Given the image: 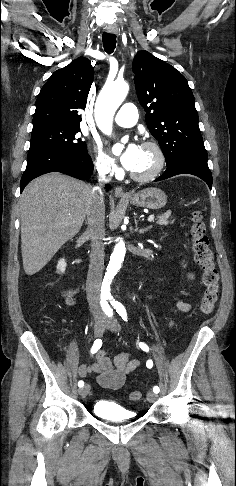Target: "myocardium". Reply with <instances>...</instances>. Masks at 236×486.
Listing matches in <instances>:
<instances>
[{
    "instance_id": "1",
    "label": "myocardium",
    "mask_w": 236,
    "mask_h": 486,
    "mask_svg": "<svg viewBox=\"0 0 236 486\" xmlns=\"http://www.w3.org/2000/svg\"><path fill=\"white\" fill-rule=\"evenodd\" d=\"M141 147L152 149L156 155V163L154 168L146 174H136L130 172V177L137 182H148L157 178L165 166V154L161 146L155 141H145Z\"/></svg>"
}]
</instances>
